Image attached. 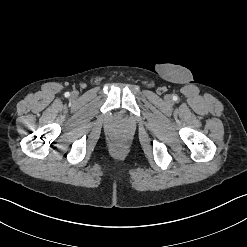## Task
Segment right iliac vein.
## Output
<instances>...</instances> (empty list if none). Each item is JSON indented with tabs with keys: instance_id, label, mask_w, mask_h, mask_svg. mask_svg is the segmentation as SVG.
I'll use <instances>...</instances> for the list:
<instances>
[{
	"instance_id": "right-iliac-vein-1",
	"label": "right iliac vein",
	"mask_w": 247,
	"mask_h": 247,
	"mask_svg": "<svg viewBox=\"0 0 247 247\" xmlns=\"http://www.w3.org/2000/svg\"><path fill=\"white\" fill-rule=\"evenodd\" d=\"M77 95H78L77 92H72V94H71V96H72L73 98L77 97Z\"/></svg>"
}]
</instances>
